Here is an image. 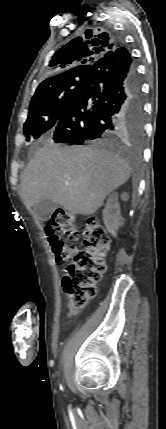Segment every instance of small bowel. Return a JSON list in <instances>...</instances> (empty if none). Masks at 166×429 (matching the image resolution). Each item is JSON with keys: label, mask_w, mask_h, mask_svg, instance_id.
Masks as SVG:
<instances>
[{"label": "small bowel", "mask_w": 166, "mask_h": 429, "mask_svg": "<svg viewBox=\"0 0 166 429\" xmlns=\"http://www.w3.org/2000/svg\"><path fill=\"white\" fill-rule=\"evenodd\" d=\"M77 313V310L74 307L69 308V315H75Z\"/></svg>", "instance_id": "1"}]
</instances>
